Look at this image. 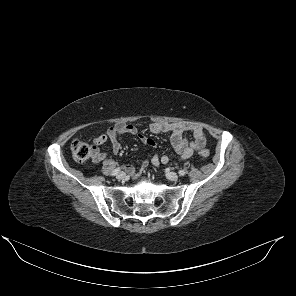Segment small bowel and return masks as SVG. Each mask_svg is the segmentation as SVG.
I'll return each mask as SVG.
<instances>
[{
	"label": "small bowel",
	"instance_id": "1",
	"mask_svg": "<svg viewBox=\"0 0 296 296\" xmlns=\"http://www.w3.org/2000/svg\"><path fill=\"white\" fill-rule=\"evenodd\" d=\"M149 130L154 134L170 133L172 145L180 159L190 158L195 151L203 148L206 143V135L203 128L200 125L191 122H153L150 124ZM188 132L192 134L190 140L186 137V133ZM122 135H138L144 144L151 147L156 145L154 140L148 138L144 133L138 132L135 126L126 123H118L109 127L102 134L93 139V144L98 147L109 140L111 142L112 152L117 154L121 150L119 138ZM105 157L106 154L104 152L97 151V155L93 160L95 162H100ZM169 162L170 157L168 155L159 156L158 154H153L151 157V163L156 167L160 164H168ZM147 166L148 161L144 160L141 164L140 171H137L133 165L129 164L125 165L124 168L131 177L136 178L147 168Z\"/></svg>",
	"mask_w": 296,
	"mask_h": 296
}]
</instances>
